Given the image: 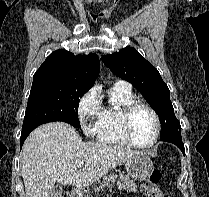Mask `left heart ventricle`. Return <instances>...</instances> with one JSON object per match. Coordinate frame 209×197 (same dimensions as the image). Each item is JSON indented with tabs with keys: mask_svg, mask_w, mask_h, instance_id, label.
<instances>
[{
	"mask_svg": "<svg viewBox=\"0 0 209 197\" xmlns=\"http://www.w3.org/2000/svg\"><path fill=\"white\" fill-rule=\"evenodd\" d=\"M131 130L133 138L140 144L150 143L155 132V121L146 108H138L132 116Z\"/></svg>",
	"mask_w": 209,
	"mask_h": 197,
	"instance_id": "left-heart-ventricle-1",
	"label": "left heart ventricle"
}]
</instances>
